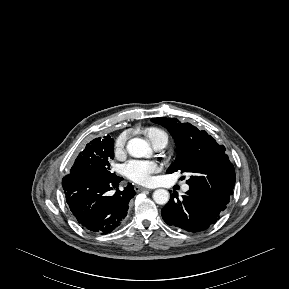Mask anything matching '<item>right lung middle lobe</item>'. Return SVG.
<instances>
[{
  "label": "right lung middle lobe",
  "instance_id": "1",
  "mask_svg": "<svg viewBox=\"0 0 289 289\" xmlns=\"http://www.w3.org/2000/svg\"><path fill=\"white\" fill-rule=\"evenodd\" d=\"M114 158V140L109 136L96 138L79 153L71 170L95 178L111 176L110 161Z\"/></svg>",
  "mask_w": 289,
  "mask_h": 289
}]
</instances>
